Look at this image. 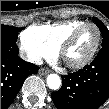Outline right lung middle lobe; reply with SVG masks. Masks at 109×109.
<instances>
[{
  "instance_id": "dd1d6c3e",
  "label": "right lung middle lobe",
  "mask_w": 109,
  "mask_h": 109,
  "mask_svg": "<svg viewBox=\"0 0 109 109\" xmlns=\"http://www.w3.org/2000/svg\"><path fill=\"white\" fill-rule=\"evenodd\" d=\"M23 30L13 26L1 24V40L16 45L18 33Z\"/></svg>"
}]
</instances>
